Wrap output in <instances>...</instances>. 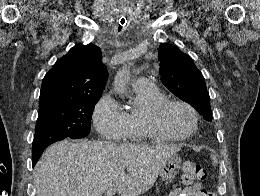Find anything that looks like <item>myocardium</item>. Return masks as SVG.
I'll return each instance as SVG.
<instances>
[{"label": "myocardium", "instance_id": "myocardium-1", "mask_svg": "<svg viewBox=\"0 0 260 196\" xmlns=\"http://www.w3.org/2000/svg\"><path fill=\"white\" fill-rule=\"evenodd\" d=\"M172 105H179L191 112L194 117L195 126L194 128L181 136L170 135L166 133L159 125L160 116L166 111V109ZM141 123L143 127L153 134L160 140L172 141V142H187L189 141L198 131L199 127V113L198 111L188 102L176 99V98H165L158 101L147 108L141 116ZM101 190H97L100 192Z\"/></svg>", "mask_w": 260, "mask_h": 196}]
</instances>
